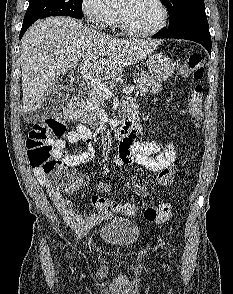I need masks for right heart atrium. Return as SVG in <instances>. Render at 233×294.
Wrapping results in <instances>:
<instances>
[{
  "mask_svg": "<svg viewBox=\"0 0 233 294\" xmlns=\"http://www.w3.org/2000/svg\"><path fill=\"white\" fill-rule=\"evenodd\" d=\"M81 11L87 21L98 28H111L118 21L117 12L104 0H81Z\"/></svg>",
  "mask_w": 233,
  "mask_h": 294,
  "instance_id": "obj_1",
  "label": "right heart atrium"
}]
</instances>
